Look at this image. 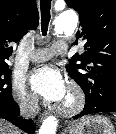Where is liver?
I'll return each mask as SVG.
<instances>
[{
	"instance_id": "1",
	"label": "liver",
	"mask_w": 116,
	"mask_h": 134,
	"mask_svg": "<svg viewBox=\"0 0 116 134\" xmlns=\"http://www.w3.org/2000/svg\"><path fill=\"white\" fill-rule=\"evenodd\" d=\"M0 134H20L17 128L8 124L5 121L0 120Z\"/></svg>"
}]
</instances>
